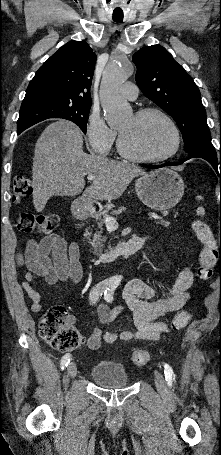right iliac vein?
Returning a JSON list of instances; mask_svg holds the SVG:
<instances>
[{"label":"right iliac vein","instance_id":"right-iliac-vein-1","mask_svg":"<svg viewBox=\"0 0 221 455\" xmlns=\"http://www.w3.org/2000/svg\"><path fill=\"white\" fill-rule=\"evenodd\" d=\"M67 373L70 377L74 378L77 374V367L74 362H71L67 367Z\"/></svg>","mask_w":221,"mask_h":455}]
</instances>
